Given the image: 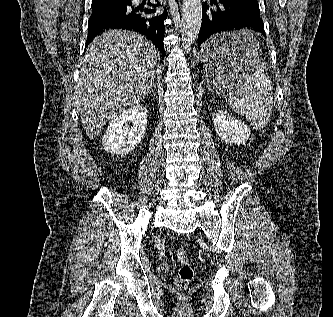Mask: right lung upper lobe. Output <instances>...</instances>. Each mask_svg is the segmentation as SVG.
<instances>
[{
	"mask_svg": "<svg viewBox=\"0 0 333 317\" xmlns=\"http://www.w3.org/2000/svg\"><path fill=\"white\" fill-rule=\"evenodd\" d=\"M118 1H128V0H118Z\"/></svg>",
	"mask_w": 333,
	"mask_h": 317,
	"instance_id": "cb5924a9",
	"label": "right lung upper lobe"
}]
</instances>
